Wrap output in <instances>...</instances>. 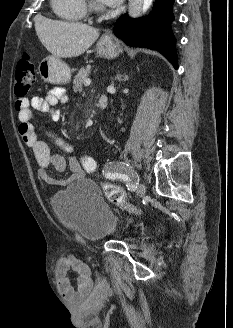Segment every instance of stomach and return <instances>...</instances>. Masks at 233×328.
<instances>
[{"label":"stomach","instance_id":"obj_1","mask_svg":"<svg viewBox=\"0 0 233 328\" xmlns=\"http://www.w3.org/2000/svg\"><path fill=\"white\" fill-rule=\"evenodd\" d=\"M97 53L108 58H115L122 51L118 42L111 35H103L96 45ZM39 74L45 82L66 84L71 79L69 66L60 58L50 55L44 58L38 67Z\"/></svg>","mask_w":233,"mask_h":328}]
</instances>
